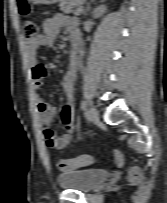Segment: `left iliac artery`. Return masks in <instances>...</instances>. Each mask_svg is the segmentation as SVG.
<instances>
[{"label": "left iliac artery", "mask_w": 167, "mask_h": 203, "mask_svg": "<svg viewBox=\"0 0 167 203\" xmlns=\"http://www.w3.org/2000/svg\"><path fill=\"white\" fill-rule=\"evenodd\" d=\"M86 107H87V102H86V101H82V102H81V109H82V110H85Z\"/></svg>", "instance_id": "obj_1"}]
</instances>
